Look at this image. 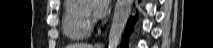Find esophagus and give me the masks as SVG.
Listing matches in <instances>:
<instances>
[{"mask_svg": "<svg viewBox=\"0 0 213 48\" xmlns=\"http://www.w3.org/2000/svg\"><path fill=\"white\" fill-rule=\"evenodd\" d=\"M98 47H99V48H101V47H102V45L100 44Z\"/></svg>", "mask_w": 213, "mask_h": 48, "instance_id": "34e87169", "label": "esophagus"}]
</instances>
